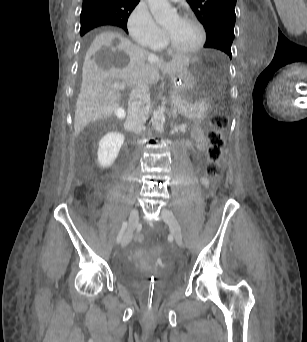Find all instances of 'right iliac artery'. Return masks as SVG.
Masks as SVG:
<instances>
[{"label":"right iliac artery","mask_w":307,"mask_h":342,"mask_svg":"<svg viewBox=\"0 0 307 342\" xmlns=\"http://www.w3.org/2000/svg\"><path fill=\"white\" fill-rule=\"evenodd\" d=\"M127 225L128 223L127 222H123L122 226H121V229L117 235V242H120L122 239H123V235L127 229Z\"/></svg>","instance_id":"1"}]
</instances>
